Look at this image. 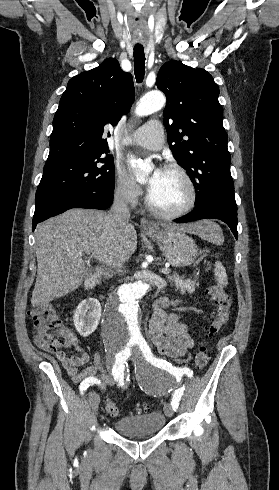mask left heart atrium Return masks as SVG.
Segmentation results:
<instances>
[{
	"label": "left heart atrium",
	"mask_w": 279,
	"mask_h": 490,
	"mask_svg": "<svg viewBox=\"0 0 279 490\" xmlns=\"http://www.w3.org/2000/svg\"><path fill=\"white\" fill-rule=\"evenodd\" d=\"M164 170L162 168H155L147 180V192L150 197L156 194L158 187L160 186L163 178Z\"/></svg>",
	"instance_id": "39dd6f15"
}]
</instances>
